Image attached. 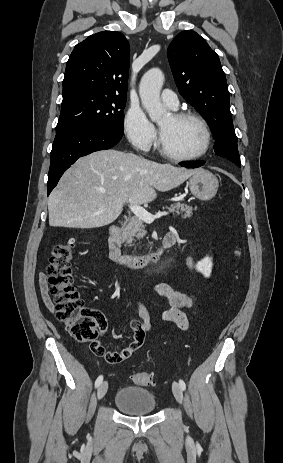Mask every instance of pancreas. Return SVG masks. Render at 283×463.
Listing matches in <instances>:
<instances>
[{"mask_svg": "<svg viewBox=\"0 0 283 463\" xmlns=\"http://www.w3.org/2000/svg\"><path fill=\"white\" fill-rule=\"evenodd\" d=\"M170 212H176L177 216L186 219L190 218L194 210H197V207H192L183 203L172 204L170 207H166ZM122 236L123 240L127 243H131L134 240V237L141 239L146 235V230L144 227L143 220L138 217H133L127 220V222L122 227Z\"/></svg>", "mask_w": 283, "mask_h": 463, "instance_id": "pancreas-1", "label": "pancreas"}]
</instances>
